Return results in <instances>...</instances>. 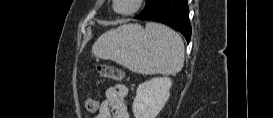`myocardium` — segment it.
<instances>
[{"mask_svg": "<svg viewBox=\"0 0 273 118\" xmlns=\"http://www.w3.org/2000/svg\"><path fill=\"white\" fill-rule=\"evenodd\" d=\"M131 1H132L131 8H129L127 10H120L118 8V4H119L120 0H114V2H113L114 11L119 14H122V15H130V14L137 12L140 9L143 0H131Z\"/></svg>", "mask_w": 273, "mask_h": 118, "instance_id": "1", "label": "myocardium"}]
</instances>
